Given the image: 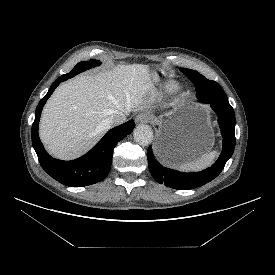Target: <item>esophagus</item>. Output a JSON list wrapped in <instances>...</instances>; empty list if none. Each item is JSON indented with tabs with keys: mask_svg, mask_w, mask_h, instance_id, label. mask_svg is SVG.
Wrapping results in <instances>:
<instances>
[{
	"mask_svg": "<svg viewBox=\"0 0 275 275\" xmlns=\"http://www.w3.org/2000/svg\"><path fill=\"white\" fill-rule=\"evenodd\" d=\"M152 117L149 114H139L136 116L135 121L138 124L150 122Z\"/></svg>",
	"mask_w": 275,
	"mask_h": 275,
	"instance_id": "esophagus-1",
	"label": "esophagus"
}]
</instances>
